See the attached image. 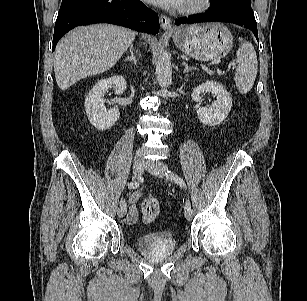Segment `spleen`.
I'll use <instances>...</instances> for the list:
<instances>
[{
	"instance_id": "spleen-1",
	"label": "spleen",
	"mask_w": 307,
	"mask_h": 301,
	"mask_svg": "<svg viewBox=\"0 0 307 301\" xmlns=\"http://www.w3.org/2000/svg\"><path fill=\"white\" fill-rule=\"evenodd\" d=\"M237 50L238 66L235 72V83L241 94H247L253 87L258 70L256 51L251 42L239 38Z\"/></svg>"
}]
</instances>
